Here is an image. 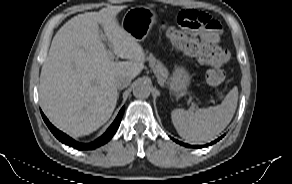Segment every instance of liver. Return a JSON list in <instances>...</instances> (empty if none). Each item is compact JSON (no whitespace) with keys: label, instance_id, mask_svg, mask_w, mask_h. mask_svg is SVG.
I'll list each match as a JSON object with an SVG mask.
<instances>
[{"label":"liver","instance_id":"liver-1","mask_svg":"<svg viewBox=\"0 0 292 184\" xmlns=\"http://www.w3.org/2000/svg\"><path fill=\"white\" fill-rule=\"evenodd\" d=\"M123 8L79 14L52 40L40 74L39 97L49 120L69 135H89L105 124L116 107V80L133 79L144 67L142 46L116 20ZM99 24L113 53L128 61L110 58Z\"/></svg>","mask_w":292,"mask_h":184}]
</instances>
